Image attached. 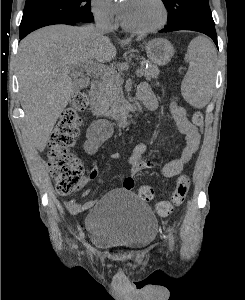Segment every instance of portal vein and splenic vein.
I'll list each match as a JSON object with an SVG mask.
<instances>
[{"label":"portal vein and splenic vein","mask_w":245,"mask_h":300,"mask_svg":"<svg viewBox=\"0 0 245 300\" xmlns=\"http://www.w3.org/2000/svg\"><path fill=\"white\" fill-rule=\"evenodd\" d=\"M83 68L87 73H94L100 75H105L110 71H112V69L105 67L103 65L95 64L94 62L87 63ZM141 75H142V71L138 69L136 71V76L140 77Z\"/></svg>","instance_id":"18ae733b"}]
</instances>
